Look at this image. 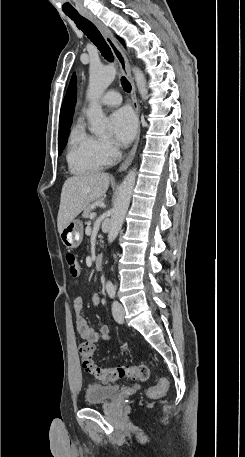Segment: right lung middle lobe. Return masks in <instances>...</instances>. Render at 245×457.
<instances>
[{"label":"right lung middle lobe","mask_w":245,"mask_h":457,"mask_svg":"<svg viewBox=\"0 0 245 457\" xmlns=\"http://www.w3.org/2000/svg\"><path fill=\"white\" fill-rule=\"evenodd\" d=\"M70 132V125L61 127L59 128V134H58V151L59 154L62 152L66 145L67 137Z\"/></svg>","instance_id":"obj_1"}]
</instances>
